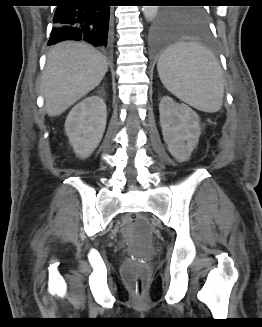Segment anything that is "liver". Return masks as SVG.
<instances>
[{
  "label": "liver",
  "instance_id": "6515ba94",
  "mask_svg": "<svg viewBox=\"0 0 262 327\" xmlns=\"http://www.w3.org/2000/svg\"><path fill=\"white\" fill-rule=\"evenodd\" d=\"M108 64L94 48L65 41L47 55L42 74L41 92L49 116H59L100 84Z\"/></svg>",
  "mask_w": 262,
  "mask_h": 327
}]
</instances>
